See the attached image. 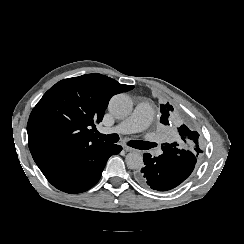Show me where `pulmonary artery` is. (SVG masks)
<instances>
[{
	"instance_id": "pulmonary-artery-1",
	"label": "pulmonary artery",
	"mask_w": 244,
	"mask_h": 244,
	"mask_svg": "<svg viewBox=\"0 0 244 244\" xmlns=\"http://www.w3.org/2000/svg\"><path fill=\"white\" fill-rule=\"evenodd\" d=\"M153 116L154 109L152 104L147 100H141L136 104L134 114L124 121L123 126L114 125L110 132L115 134L118 131L120 133L126 131L129 134H134L147 127L152 122Z\"/></svg>"
}]
</instances>
